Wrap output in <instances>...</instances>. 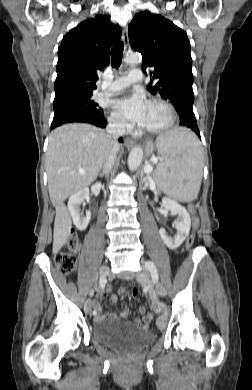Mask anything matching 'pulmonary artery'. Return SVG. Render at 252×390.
I'll list each match as a JSON object with an SVG mask.
<instances>
[{
    "label": "pulmonary artery",
    "instance_id": "1",
    "mask_svg": "<svg viewBox=\"0 0 252 390\" xmlns=\"http://www.w3.org/2000/svg\"><path fill=\"white\" fill-rule=\"evenodd\" d=\"M142 79V71L140 69H133L127 73L126 76L117 78L109 87L107 94L118 93L129 85L139 82Z\"/></svg>",
    "mask_w": 252,
    "mask_h": 390
}]
</instances>
